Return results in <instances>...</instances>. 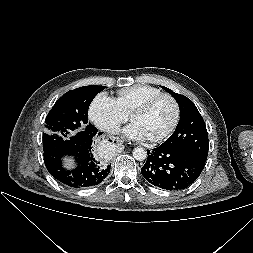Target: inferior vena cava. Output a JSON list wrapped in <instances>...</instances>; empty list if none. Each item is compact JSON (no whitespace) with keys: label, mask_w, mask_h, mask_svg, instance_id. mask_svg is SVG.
<instances>
[{"label":"inferior vena cava","mask_w":253,"mask_h":253,"mask_svg":"<svg viewBox=\"0 0 253 253\" xmlns=\"http://www.w3.org/2000/svg\"><path fill=\"white\" fill-rule=\"evenodd\" d=\"M107 132L112 133V134H117L120 132V125L117 123L110 124L107 126Z\"/></svg>","instance_id":"inferior-vena-cava-1"}]
</instances>
